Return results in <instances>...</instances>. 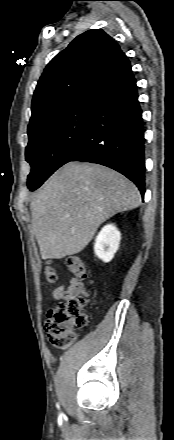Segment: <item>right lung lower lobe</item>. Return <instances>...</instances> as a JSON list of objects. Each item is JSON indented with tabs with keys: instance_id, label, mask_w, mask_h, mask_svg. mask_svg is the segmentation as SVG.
I'll return each instance as SVG.
<instances>
[{
	"instance_id": "obj_1",
	"label": "right lung lower lobe",
	"mask_w": 174,
	"mask_h": 440,
	"mask_svg": "<svg viewBox=\"0 0 174 440\" xmlns=\"http://www.w3.org/2000/svg\"><path fill=\"white\" fill-rule=\"evenodd\" d=\"M94 95L95 104L86 133L66 163L83 161L110 167L133 181L144 198L145 138L132 70Z\"/></svg>"
}]
</instances>
